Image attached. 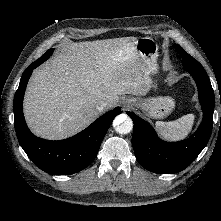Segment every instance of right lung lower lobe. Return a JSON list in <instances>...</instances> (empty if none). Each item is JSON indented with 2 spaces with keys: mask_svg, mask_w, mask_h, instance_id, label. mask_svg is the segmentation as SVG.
I'll list each match as a JSON object with an SVG mask.
<instances>
[{
  "mask_svg": "<svg viewBox=\"0 0 221 221\" xmlns=\"http://www.w3.org/2000/svg\"><path fill=\"white\" fill-rule=\"evenodd\" d=\"M43 62L41 57L22 74L13 104L15 131L20 146L36 166L51 175H70L91 164L111 122L122 111L116 107L65 140L50 141L36 137L28 129L23 116V97L33 69Z\"/></svg>",
  "mask_w": 221,
  "mask_h": 221,
  "instance_id": "obj_1",
  "label": "right lung lower lobe"
}]
</instances>
